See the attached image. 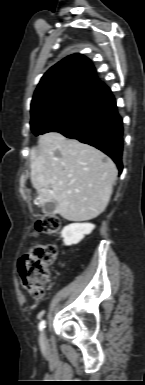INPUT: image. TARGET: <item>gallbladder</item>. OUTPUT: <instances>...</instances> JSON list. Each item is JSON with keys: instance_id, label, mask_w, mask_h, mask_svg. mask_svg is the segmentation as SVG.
<instances>
[{"instance_id": "obj_1", "label": "gallbladder", "mask_w": 145, "mask_h": 385, "mask_svg": "<svg viewBox=\"0 0 145 385\" xmlns=\"http://www.w3.org/2000/svg\"><path fill=\"white\" fill-rule=\"evenodd\" d=\"M42 211H43V213L49 214V215L55 214L56 213V204L54 202L45 203L42 206Z\"/></svg>"}]
</instances>
